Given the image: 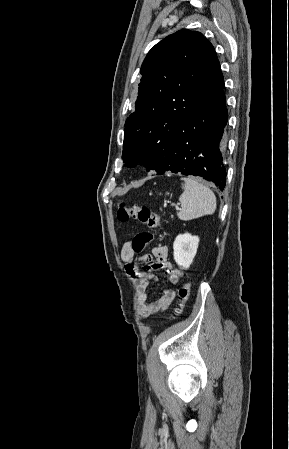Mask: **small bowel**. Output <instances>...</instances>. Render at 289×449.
Masks as SVG:
<instances>
[{"label":"small bowel","instance_id":"obj_1","mask_svg":"<svg viewBox=\"0 0 289 449\" xmlns=\"http://www.w3.org/2000/svg\"><path fill=\"white\" fill-rule=\"evenodd\" d=\"M121 259L125 262L126 272L138 285L140 315L146 318L168 309L176 298L174 289H165L155 300H151L149 297L150 286L156 280L154 271L165 270L168 273L170 283L173 285H177L182 278L181 270L175 268L168 260V248L164 245H158L152 249L150 255L138 259L135 257L132 241H128L121 249ZM139 261L146 263V271L140 269Z\"/></svg>","mask_w":289,"mask_h":449}]
</instances>
